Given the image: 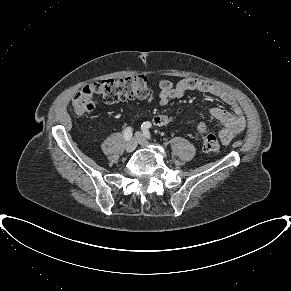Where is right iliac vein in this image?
<instances>
[{"label":"right iliac vein","instance_id":"right-iliac-vein-1","mask_svg":"<svg viewBox=\"0 0 291 291\" xmlns=\"http://www.w3.org/2000/svg\"><path fill=\"white\" fill-rule=\"evenodd\" d=\"M137 147V140H136V137L135 138H132L130 139L126 145H125V150L127 152H132L135 150V148Z\"/></svg>","mask_w":291,"mask_h":291}]
</instances>
